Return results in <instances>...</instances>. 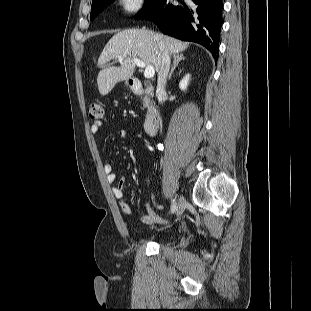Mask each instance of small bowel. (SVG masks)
<instances>
[{
    "label": "small bowel",
    "instance_id": "obj_1",
    "mask_svg": "<svg viewBox=\"0 0 311 311\" xmlns=\"http://www.w3.org/2000/svg\"><path fill=\"white\" fill-rule=\"evenodd\" d=\"M101 128H102V123L100 121H96L90 126V131L96 134L101 130ZM118 135L121 138H126L128 136V133L122 130L118 132ZM103 170L106 174V178L109 183L112 184L117 181V175L114 172L112 163L110 162L104 163ZM124 186H125V178H121L118 181V184L113 187L112 191H113L114 196L119 200V205H120L122 212L126 215H131L132 214L131 207L126 202L125 196H124ZM146 207H147V212L140 217V222L142 224L151 225L153 223H160V224L167 223V221L164 218L156 214L153 208V203L150 200L146 201Z\"/></svg>",
    "mask_w": 311,
    "mask_h": 311
}]
</instances>
